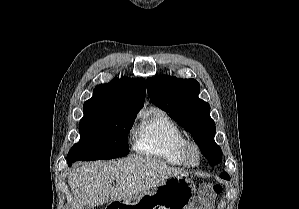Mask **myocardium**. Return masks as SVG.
<instances>
[{
	"instance_id": "myocardium-1",
	"label": "myocardium",
	"mask_w": 299,
	"mask_h": 209,
	"mask_svg": "<svg viewBox=\"0 0 299 209\" xmlns=\"http://www.w3.org/2000/svg\"><path fill=\"white\" fill-rule=\"evenodd\" d=\"M181 155L185 165L189 167L199 166L203 158L200 146L190 140L184 144Z\"/></svg>"
}]
</instances>
